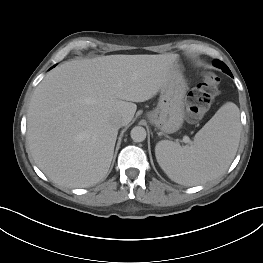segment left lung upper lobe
<instances>
[{
  "label": "left lung upper lobe",
  "mask_w": 263,
  "mask_h": 263,
  "mask_svg": "<svg viewBox=\"0 0 263 263\" xmlns=\"http://www.w3.org/2000/svg\"><path fill=\"white\" fill-rule=\"evenodd\" d=\"M213 65L215 67H218L220 69H222V71H224L225 73H227L228 75L232 76L231 71L229 70V68L227 67V65L219 60H214L213 61Z\"/></svg>",
  "instance_id": "5c2ea615"
}]
</instances>
